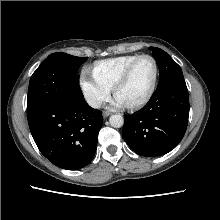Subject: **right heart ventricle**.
<instances>
[{"label": "right heart ventricle", "instance_id": "right-heart-ventricle-1", "mask_svg": "<svg viewBox=\"0 0 220 220\" xmlns=\"http://www.w3.org/2000/svg\"><path fill=\"white\" fill-rule=\"evenodd\" d=\"M139 55H123L97 61L93 66V74L105 85L113 88L118 78L128 65Z\"/></svg>", "mask_w": 220, "mask_h": 220}]
</instances>
